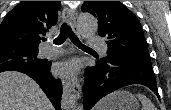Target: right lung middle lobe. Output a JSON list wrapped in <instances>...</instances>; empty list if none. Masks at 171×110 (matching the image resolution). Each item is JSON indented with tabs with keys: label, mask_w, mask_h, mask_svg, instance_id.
Here are the masks:
<instances>
[{
	"label": "right lung middle lobe",
	"mask_w": 171,
	"mask_h": 110,
	"mask_svg": "<svg viewBox=\"0 0 171 110\" xmlns=\"http://www.w3.org/2000/svg\"><path fill=\"white\" fill-rule=\"evenodd\" d=\"M38 49L21 46L0 47V72L18 68H41L47 63L37 58Z\"/></svg>",
	"instance_id": "dd1d6c3e"
}]
</instances>
